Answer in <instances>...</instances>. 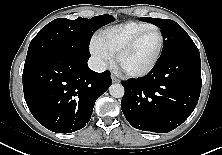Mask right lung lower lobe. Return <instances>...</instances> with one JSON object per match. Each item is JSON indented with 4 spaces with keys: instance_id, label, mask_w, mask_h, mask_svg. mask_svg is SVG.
<instances>
[{
    "instance_id": "right-lung-lower-lobe-1",
    "label": "right lung lower lobe",
    "mask_w": 222,
    "mask_h": 155,
    "mask_svg": "<svg viewBox=\"0 0 222 155\" xmlns=\"http://www.w3.org/2000/svg\"><path fill=\"white\" fill-rule=\"evenodd\" d=\"M90 56L55 53L24 65V97L35 119L56 133H71L90 120L96 99L112 84L108 71L87 65Z\"/></svg>"
}]
</instances>
